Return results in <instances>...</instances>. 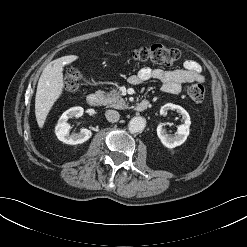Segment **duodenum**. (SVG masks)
Wrapping results in <instances>:
<instances>
[{
    "mask_svg": "<svg viewBox=\"0 0 247 247\" xmlns=\"http://www.w3.org/2000/svg\"><path fill=\"white\" fill-rule=\"evenodd\" d=\"M100 101H101V97L96 93L89 94L86 98L87 104L92 107L99 105ZM149 105H150L149 100L144 99L136 104L135 109L136 111L142 112L148 109Z\"/></svg>",
    "mask_w": 247,
    "mask_h": 247,
    "instance_id": "410a0bca",
    "label": "duodenum"
}]
</instances>
